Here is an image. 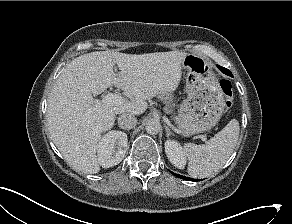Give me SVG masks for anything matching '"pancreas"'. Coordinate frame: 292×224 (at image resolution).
<instances>
[{"mask_svg": "<svg viewBox=\"0 0 292 224\" xmlns=\"http://www.w3.org/2000/svg\"><path fill=\"white\" fill-rule=\"evenodd\" d=\"M165 98H166V100H168V102H167L168 111L171 112L172 108L175 107V103H173V96L165 95Z\"/></svg>", "mask_w": 292, "mask_h": 224, "instance_id": "obj_1", "label": "pancreas"}]
</instances>
